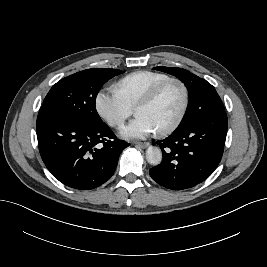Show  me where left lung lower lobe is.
<instances>
[{"label":"left lung lower lobe","mask_w":267,"mask_h":267,"mask_svg":"<svg viewBox=\"0 0 267 267\" xmlns=\"http://www.w3.org/2000/svg\"><path fill=\"white\" fill-rule=\"evenodd\" d=\"M227 127V115L205 110L200 121L157 141L163 160L150 169L151 178L171 190L203 182L221 161Z\"/></svg>","instance_id":"0a47b994"}]
</instances>
